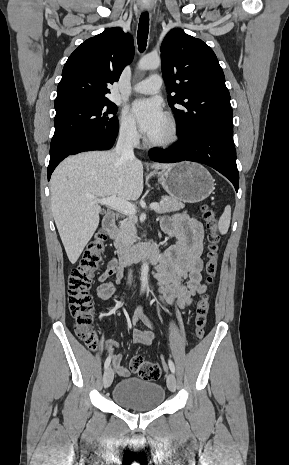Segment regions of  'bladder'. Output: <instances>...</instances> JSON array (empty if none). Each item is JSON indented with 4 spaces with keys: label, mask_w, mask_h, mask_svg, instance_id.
<instances>
[{
    "label": "bladder",
    "mask_w": 289,
    "mask_h": 465,
    "mask_svg": "<svg viewBox=\"0 0 289 465\" xmlns=\"http://www.w3.org/2000/svg\"><path fill=\"white\" fill-rule=\"evenodd\" d=\"M113 400L121 407L132 410H153L165 399L162 385L140 378L122 379L114 386Z\"/></svg>",
    "instance_id": "obj_1"
}]
</instances>
